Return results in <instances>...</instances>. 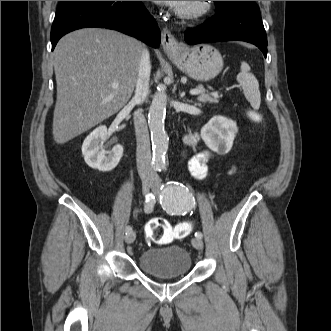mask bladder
Returning a JSON list of instances; mask_svg holds the SVG:
<instances>
[{
	"mask_svg": "<svg viewBox=\"0 0 331 331\" xmlns=\"http://www.w3.org/2000/svg\"><path fill=\"white\" fill-rule=\"evenodd\" d=\"M138 264L152 278H181L191 271L192 259L183 246L171 244L143 250L138 256Z\"/></svg>",
	"mask_w": 331,
	"mask_h": 331,
	"instance_id": "31cf9c89",
	"label": "bladder"
}]
</instances>
